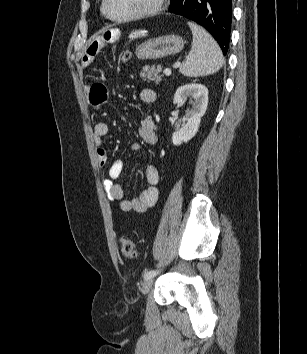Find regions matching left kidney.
<instances>
[{
	"label": "left kidney",
	"mask_w": 307,
	"mask_h": 354,
	"mask_svg": "<svg viewBox=\"0 0 307 354\" xmlns=\"http://www.w3.org/2000/svg\"><path fill=\"white\" fill-rule=\"evenodd\" d=\"M187 98L192 99L193 107L186 111L187 123L172 135V142L175 146L188 142L196 135L201 118L208 106V89L201 84L180 86L175 92L173 103L182 106Z\"/></svg>",
	"instance_id": "1"
}]
</instances>
